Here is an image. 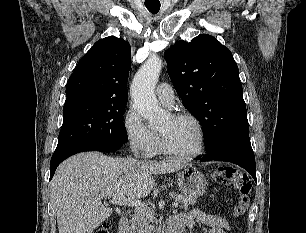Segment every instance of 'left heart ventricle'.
I'll return each mask as SVG.
<instances>
[{
  "label": "left heart ventricle",
  "instance_id": "left-heart-ventricle-1",
  "mask_svg": "<svg viewBox=\"0 0 306 233\" xmlns=\"http://www.w3.org/2000/svg\"><path fill=\"white\" fill-rule=\"evenodd\" d=\"M171 148L179 152H193L199 146V132L195 124L187 119L176 120L172 116L159 129Z\"/></svg>",
  "mask_w": 306,
  "mask_h": 233
}]
</instances>
